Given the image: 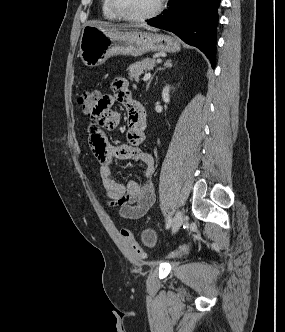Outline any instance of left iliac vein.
Returning a JSON list of instances; mask_svg holds the SVG:
<instances>
[{
    "mask_svg": "<svg viewBox=\"0 0 285 332\" xmlns=\"http://www.w3.org/2000/svg\"><path fill=\"white\" fill-rule=\"evenodd\" d=\"M184 220V215L181 210H178L175 214V217L173 219L172 223V232L175 233L179 230L180 226L182 225Z\"/></svg>",
    "mask_w": 285,
    "mask_h": 332,
    "instance_id": "1",
    "label": "left iliac vein"
}]
</instances>
